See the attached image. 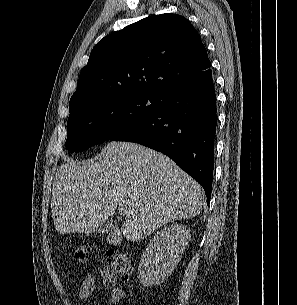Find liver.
<instances>
[{
	"instance_id": "obj_1",
	"label": "liver",
	"mask_w": 297,
	"mask_h": 305,
	"mask_svg": "<svg viewBox=\"0 0 297 305\" xmlns=\"http://www.w3.org/2000/svg\"><path fill=\"white\" fill-rule=\"evenodd\" d=\"M200 185L167 156L129 142H110L99 161H70L55 175L51 212L64 235L89 234L125 210L121 229L107 237L120 245L122 236L138 241L169 222L190 219L202 210Z\"/></svg>"
}]
</instances>
